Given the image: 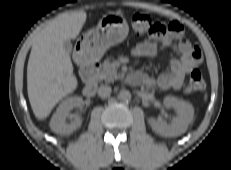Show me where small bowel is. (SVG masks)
Returning <instances> with one entry per match:
<instances>
[{"instance_id": "small-bowel-1", "label": "small bowel", "mask_w": 231, "mask_h": 170, "mask_svg": "<svg viewBox=\"0 0 231 170\" xmlns=\"http://www.w3.org/2000/svg\"><path fill=\"white\" fill-rule=\"evenodd\" d=\"M167 32L160 38L151 37L137 44L132 53L136 57H153L156 55L159 46L172 48L178 58L169 62V69L162 72L157 78L151 77L144 72H135L133 80L143 83L146 86H156L162 90L182 87L185 76L193 71L202 60V52L199 47H194L183 38V26L178 21H173L167 26Z\"/></svg>"}]
</instances>
